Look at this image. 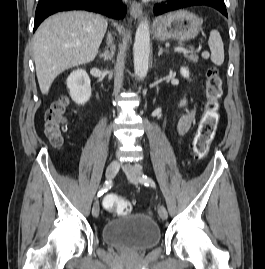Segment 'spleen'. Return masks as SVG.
Instances as JSON below:
<instances>
[{
  "label": "spleen",
  "mask_w": 265,
  "mask_h": 269,
  "mask_svg": "<svg viewBox=\"0 0 265 269\" xmlns=\"http://www.w3.org/2000/svg\"><path fill=\"white\" fill-rule=\"evenodd\" d=\"M208 45L211 51V61L220 66L224 62V45L217 30H212L210 32Z\"/></svg>",
  "instance_id": "1"
}]
</instances>
